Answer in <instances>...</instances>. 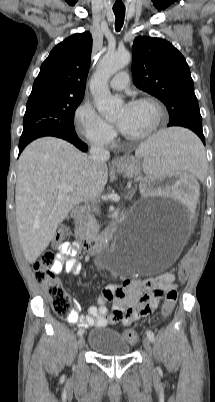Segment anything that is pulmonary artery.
Instances as JSON below:
<instances>
[{
    "instance_id": "e3ab8cb5",
    "label": "pulmonary artery",
    "mask_w": 215,
    "mask_h": 402,
    "mask_svg": "<svg viewBox=\"0 0 215 402\" xmlns=\"http://www.w3.org/2000/svg\"><path fill=\"white\" fill-rule=\"evenodd\" d=\"M129 82V76L126 72L117 73L110 81V86L115 90L124 89Z\"/></svg>"
}]
</instances>
